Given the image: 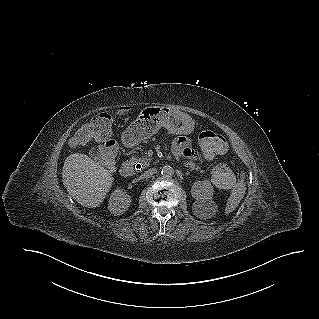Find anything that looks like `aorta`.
<instances>
[{"mask_svg":"<svg viewBox=\"0 0 319 319\" xmlns=\"http://www.w3.org/2000/svg\"><path fill=\"white\" fill-rule=\"evenodd\" d=\"M174 174V170L171 166L169 165H166V166H163L162 169H161V175L163 178H171Z\"/></svg>","mask_w":319,"mask_h":319,"instance_id":"obj_1","label":"aorta"}]
</instances>
